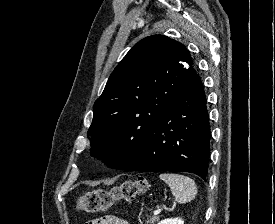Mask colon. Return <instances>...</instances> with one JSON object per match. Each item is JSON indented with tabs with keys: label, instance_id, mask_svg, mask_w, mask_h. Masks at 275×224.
<instances>
[{
	"label": "colon",
	"instance_id": "5ec220e1",
	"mask_svg": "<svg viewBox=\"0 0 275 224\" xmlns=\"http://www.w3.org/2000/svg\"><path fill=\"white\" fill-rule=\"evenodd\" d=\"M148 181L145 178L126 180L110 189L98 188L82 195L77 203L78 210L95 213L110 209L120 201H131L145 191Z\"/></svg>",
	"mask_w": 275,
	"mask_h": 224
}]
</instances>
